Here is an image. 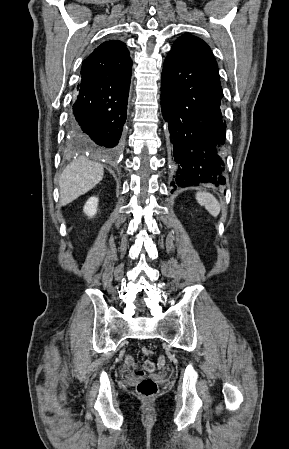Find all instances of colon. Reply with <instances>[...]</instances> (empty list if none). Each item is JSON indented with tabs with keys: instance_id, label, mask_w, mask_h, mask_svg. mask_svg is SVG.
<instances>
[{
	"instance_id": "1",
	"label": "colon",
	"mask_w": 289,
	"mask_h": 449,
	"mask_svg": "<svg viewBox=\"0 0 289 449\" xmlns=\"http://www.w3.org/2000/svg\"><path fill=\"white\" fill-rule=\"evenodd\" d=\"M142 351L145 355L153 354V351L148 347H143ZM137 375L141 377L136 386L138 394L145 398L153 397L158 391L156 381L152 378L145 377L143 372H139Z\"/></svg>"
}]
</instances>
